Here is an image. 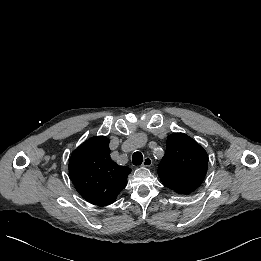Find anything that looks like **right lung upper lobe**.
<instances>
[{
    "mask_svg": "<svg viewBox=\"0 0 261 261\" xmlns=\"http://www.w3.org/2000/svg\"><path fill=\"white\" fill-rule=\"evenodd\" d=\"M109 142L105 136L90 138L73 151L69 160L75 188L84 199L98 206L115 202L131 172L111 160Z\"/></svg>",
    "mask_w": 261,
    "mask_h": 261,
    "instance_id": "cb5924a9",
    "label": "right lung upper lobe"
}]
</instances>
